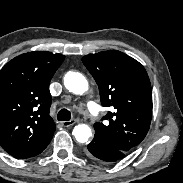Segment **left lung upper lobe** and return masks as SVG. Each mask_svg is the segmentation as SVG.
I'll use <instances>...</instances> for the list:
<instances>
[{"label":"left lung upper lobe","mask_w":183,"mask_h":183,"mask_svg":"<svg viewBox=\"0 0 183 183\" xmlns=\"http://www.w3.org/2000/svg\"><path fill=\"white\" fill-rule=\"evenodd\" d=\"M83 64L99 87L101 104L111 107L95 123V136L124 152L131 151L146 136L152 117V91L145 68L132 57L109 50L88 54Z\"/></svg>","instance_id":"1"}]
</instances>
